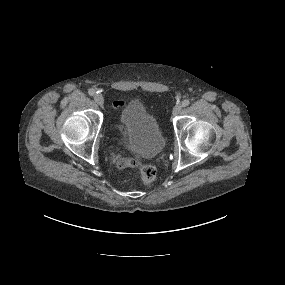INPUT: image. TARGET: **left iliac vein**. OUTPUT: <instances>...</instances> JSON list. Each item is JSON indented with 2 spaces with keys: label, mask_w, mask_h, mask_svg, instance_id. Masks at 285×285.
I'll return each instance as SVG.
<instances>
[{
  "label": "left iliac vein",
  "mask_w": 285,
  "mask_h": 285,
  "mask_svg": "<svg viewBox=\"0 0 285 285\" xmlns=\"http://www.w3.org/2000/svg\"><path fill=\"white\" fill-rule=\"evenodd\" d=\"M181 109H182V106L180 104L175 105L173 108V115L179 114Z\"/></svg>",
  "instance_id": "1"
}]
</instances>
